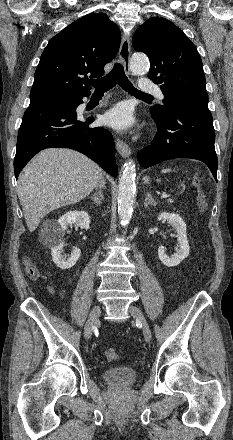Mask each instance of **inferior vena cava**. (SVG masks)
<instances>
[{
	"label": "inferior vena cava",
	"instance_id": "inferior-vena-cava-1",
	"mask_svg": "<svg viewBox=\"0 0 233 440\" xmlns=\"http://www.w3.org/2000/svg\"><path fill=\"white\" fill-rule=\"evenodd\" d=\"M104 185H105V182H104V180H101V182H100L99 186H100V187H104Z\"/></svg>",
	"mask_w": 233,
	"mask_h": 440
}]
</instances>
